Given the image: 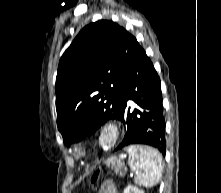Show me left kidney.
Segmentation results:
<instances>
[{
  "mask_svg": "<svg viewBox=\"0 0 221 193\" xmlns=\"http://www.w3.org/2000/svg\"><path fill=\"white\" fill-rule=\"evenodd\" d=\"M123 193H144L143 190H140L139 188H137L136 186H127L124 190Z\"/></svg>",
  "mask_w": 221,
  "mask_h": 193,
  "instance_id": "left-kidney-1",
  "label": "left kidney"
}]
</instances>
